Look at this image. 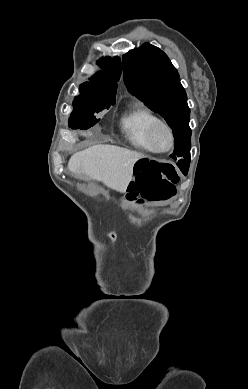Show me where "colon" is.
<instances>
[{
  "label": "colon",
  "instance_id": "5ec220e1",
  "mask_svg": "<svg viewBox=\"0 0 248 389\" xmlns=\"http://www.w3.org/2000/svg\"><path fill=\"white\" fill-rule=\"evenodd\" d=\"M133 179L129 180L127 201L144 204L164 201L174 196L180 176L170 161L156 162L150 157H138Z\"/></svg>",
  "mask_w": 248,
  "mask_h": 389
}]
</instances>
